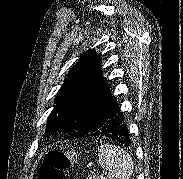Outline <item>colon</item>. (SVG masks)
Listing matches in <instances>:
<instances>
[{
	"mask_svg": "<svg viewBox=\"0 0 183 179\" xmlns=\"http://www.w3.org/2000/svg\"><path fill=\"white\" fill-rule=\"evenodd\" d=\"M73 159L74 154L70 151H49L38 170L39 179H65L66 172Z\"/></svg>",
	"mask_w": 183,
	"mask_h": 179,
	"instance_id": "1",
	"label": "colon"
}]
</instances>
